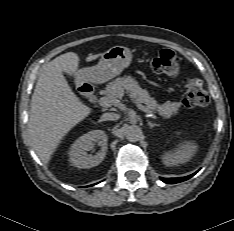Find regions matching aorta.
Returning <instances> with one entry per match:
<instances>
[{
  "label": "aorta",
  "mask_w": 234,
  "mask_h": 231,
  "mask_svg": "<svg viewBox=\"0 0 234 231\" xmlns=\"http://www.w3.org/2000/svg\"><path fill=\"white\" fill-rule=\"evenodd\" d=\"M142 134V131L139 126L137 125H130L127 126L125 129V136L129 141H138L140 136Z\"/></svg>",
  "instance_id": "obj_1"
}]
</instances>
